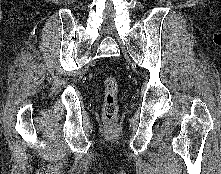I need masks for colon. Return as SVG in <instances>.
Masks as SVG:
<instances>
[{"mask_svg":"<svg viewBox=\"0 0 221 174\" xmlns=\"http://www.w3.org/2000/svg\"><path fill=\"white\" fill-rule=\"evenodd\" d=\"M104 85V105L103 113L109 125H112L118 111L117 94L118 83L115 77L107 76Z\"/></svg>","mask_w":221,"mask_h":174,"instance_id":"5ec220e1","label":"colon"}]
</instances>
